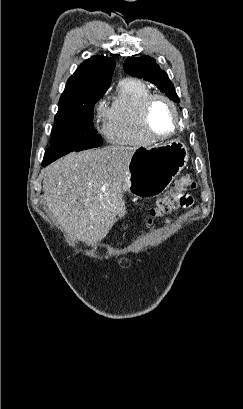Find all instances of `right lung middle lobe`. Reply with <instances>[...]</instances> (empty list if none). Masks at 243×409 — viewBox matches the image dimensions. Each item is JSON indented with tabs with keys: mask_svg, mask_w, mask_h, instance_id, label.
Wrapping results in <instances>:
<instances>
[{
	"mask_svg": "<svg viewBox=\"0 0 243 409\" xmlns=\"http://www.w3.org/2000/svg\"><path fill=\"white\" fill-rule=\"evenodd\" d=\"M95 103L58 106L51 132V145L46 154L70 153L102 145L93 126Z\"/></svg>",
	"mask_w": 243,
	"mask_h": 409,
	"instance_id": "obj_1",
	"label": "right lung middle lobe"
}]
</instances>
